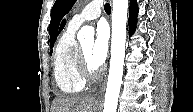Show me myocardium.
I'll return each mask as SVG.
<instances>
[{
    "instance_id": "obj_1",
    "label": "myocardium",
    "mask_w": 193,
    "mask_h": 112,
    "mask_svg": "<svg viewBox=\"0 0 193 112\" xmlns=\"http://www.w3.org/2000/svg\"><path fill=\"white\" fill-rule=\"evenodd\" d=\"M77 68L81 78L85 82L95 81L100 78L103 73L102 67H99L96 70L90 68L81 45H78L77 48Z\"/></svg>"
}]
</instances>
